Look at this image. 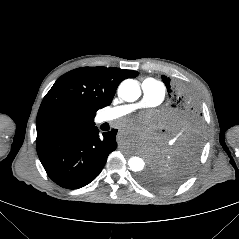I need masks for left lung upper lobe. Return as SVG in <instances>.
I'll list each match as a JSON object with an SVG mask.
<instances>
[{"label":"left lung upper lobe","mask_w":239,"mask_h":239,"mask_svg":"<svg viewBox=\"0 0 239 239\" xmlns=\"http://www.w3.org/2000/svg\"><path fill=\"white\" fill-rule=\"evenodd\" d=\"M161 78L170 97L169 138L141 181L155 190H169L180 185L194 170L203 147L204 126L193 91L170 77Z\"/></svg>","instance_id":"left-lung-upper-lobe-1"}]
</instances>
